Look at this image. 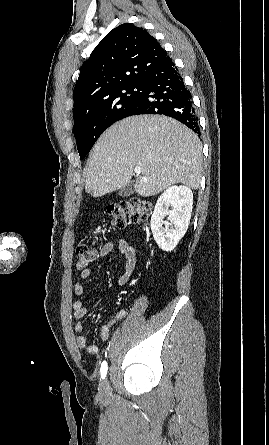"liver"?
<instances>
[{
	"mask_svg": "<svg viewBox=\"0 0 269 445\" xmlns=\"http://www.w3.org/2000/svg\"><path fill=\"white\" fill-rule=\"evenodd\" d=\"M202 146L180 122L160 115L127 117L98 139L87 162L85 190L93 197L125 187L141 167L134 185L143 197L154 196L182 183L198 189Z\"/></svg>",
	"mask_w": 269,
	"mask_h": 445,
	"instance_id": "6515ba94",
	"label": "liver"
}]
</instances>
